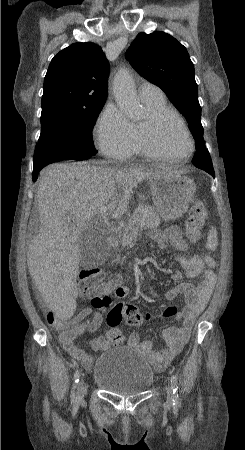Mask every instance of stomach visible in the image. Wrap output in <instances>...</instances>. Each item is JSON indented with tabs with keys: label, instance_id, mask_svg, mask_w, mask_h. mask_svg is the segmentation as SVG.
Returning <instances> with one entry per match:
<instances>
[{
	"label": "stomach",
	"instance_id": "stomach-1",
	"mask_svg": "<svg viewBox=\"0 0 245 450\" xmlns=\"http://www.w3.org/2000/svg\"><path fill=\"white\" fill-rule=\"evenodd\" d=\"M149 185L156 211L166 221L182 217L196 192L194 181L177 171L153 176Z\"/></svg>",
	"mask_w": 245,
	"mask_h": 450
}]
</instances>
